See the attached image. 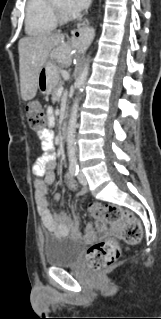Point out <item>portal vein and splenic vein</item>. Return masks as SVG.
Here are the masks:
<instances>
[{
  "instance_id": "1",
  "label": "portal vein and splenic vein",
  "mask_w": 161,
  "mask_h": 319,
  "mask_svg": "<svg viewBox=\"0 0 161 319\" xmlns=\"http://www.w3.org/2000/svg\"><path fill=\"white\" fill-rule=\"evenodd\" d=\"M63 93V87H60L57 91V95L60 97Z\"/></svg>"
}]
</instances>
